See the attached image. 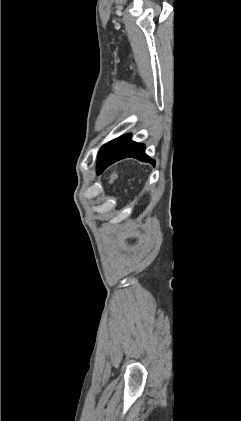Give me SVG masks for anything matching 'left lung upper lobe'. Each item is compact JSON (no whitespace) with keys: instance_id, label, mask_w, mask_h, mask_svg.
Here are the masks:
<instances>
[{"instance_id":"obj_1","label":"left lung upper lobe","mask_w":241,"mask_h":421,"mask_svg":"<svg viewBox=\"0 0 241 421\" xmlns=\"http://www.w3.org/2000/svg\"><path fill=\"white\" fill-rule=\"evenodd\" d=\"M104 147H105V145L101 147V149H100V151H99V154H101V153H102V151L104 150Z\"/></svg>"}]
</instances>
